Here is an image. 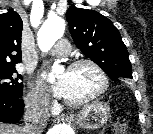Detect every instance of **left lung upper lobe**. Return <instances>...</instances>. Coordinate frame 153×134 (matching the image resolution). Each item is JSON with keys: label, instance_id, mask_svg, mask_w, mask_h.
<instances>
[{"label": "left lung upper lobe", "instance_id": "left-lung-upper-lobe-1", "mask_svg": "<svg viewBox=\"0 0 153 134\" xmlns=\"http://www.w3.org/2000/svg\"><path fill=\"white\" fill-rule=\"evenodd\" d=\"M67 21L71 36L82 53L116 81L132 78L128 51L118 29L97 11L70 7Z\"/></svg>", "mask_w": 153, "mask_h": 134}]
</instances>
